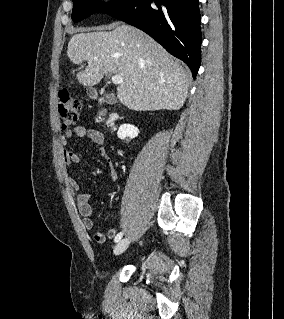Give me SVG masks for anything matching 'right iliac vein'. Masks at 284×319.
Listing matches in <instances>:
<instances>
[{"label": "right iliac vein", "instance_id": "1", "mask_svg": "<svg viewBox=\"0 0 284 319\" xmlns=\"http://www.w3.org/2000/svg\"><path fill=\"white\" fill-rule=\"evenodd\" d=\"M129 243H130L129 238H125L119 241L114 247V250H113L114 254L115 255L122 254L128 248Z\"/></svg>", "mask_w": 284, "mask_h": 319}]
</instances>
